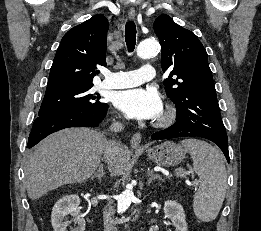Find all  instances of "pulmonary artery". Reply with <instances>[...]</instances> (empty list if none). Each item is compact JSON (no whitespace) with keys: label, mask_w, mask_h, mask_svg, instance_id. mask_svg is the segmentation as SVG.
<instances>
[{"label":"pulmonary artery","mask_w":261,"mask_h":231,"mask_svg":"<svg viewBox=\"0 0 261 231\" xmlns=\"http://www.w3.org/2000/svg\"><path fill=\"white\" fill-rule=\"evenodd\" d=\"M156 76L152 66H142L134 71H118L109 73L102 86L108 89H123L152 81Z\"/></svg>","instance_id":"e3ab8cb5"}]
</instances>
